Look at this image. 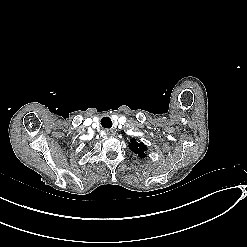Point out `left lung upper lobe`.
I'll list each match as a JSON object with an SVG mask.
<instances>
[{"label":"left lung upper lobe","instance_id":"5c2ea615","mask_svg":"<svg viewBox=\"0 0 247 247\" xmlns=\"http://www.w3.org/2000/svg\"><path fill=\"white\" fill-rule=\"evenodd\" d=\"M129 148L138 156L146 157L147 147L144 145L143 142L131 139L129 143Z\"/></svg>","mask_w":247,"mask_h":247}]
</instances>
